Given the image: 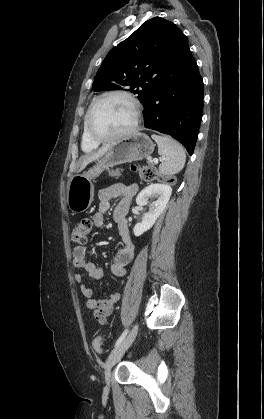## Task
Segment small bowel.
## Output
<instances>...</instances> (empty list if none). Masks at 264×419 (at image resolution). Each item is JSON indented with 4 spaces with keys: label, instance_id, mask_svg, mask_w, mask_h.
Returning <instances> with one entry per match:
<instances>
[{
    "label": "small bowel",
    "instance_id": "c3829d8e",
    "mask_svg": "<svg viewBox=\"0 0 264 419\" xmlns=\"http://www.w3.org/2000/svg\"><path fill=\"white\" fill-rule=\"evenodd\" d=\"M136 191V184H118L102 189L99 193L98 211L92 218L96 227H102L104 225V214L109 210L111 201L116 198L119 199L113 219L118 227L124 246L117 252L111 265V272L119 278H123L126 275L127 267L134 258V245L130 238L126 215L131 199ZM73 265L93 279H101L103 277V269L87 260V250L83 246L74 248ZM74 278L79 284L83 296L87 299L86 306L92 311L95 320L101 325H106L108 317L113 312L114 305L120 298V293H114L106 299H96L94 298L93 289L86 284L81 273H76Z\"/></svg>",
    "mask_w": 264,
    "mask_h": 419
}]
</instances>
